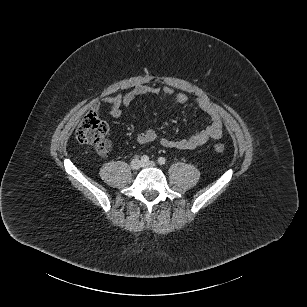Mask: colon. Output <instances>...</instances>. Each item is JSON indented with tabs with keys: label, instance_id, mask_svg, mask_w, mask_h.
Wrapping results in <instances>:
<instances>
[{
	"label": "colon",
	"instance_id": "colon-1",
	"mask_svg": "<svg viewBox=\"0 0 307 307\" xmlns=\"http://www.w3.org/2000/svg\"><path fill=\"white\" fill-rule=\"evenodd\" d=\"M107 126L100 120L95 111H89L80 123L76 135L77 139L86 145L92 146L99 154H108L111 143L107 138ZM217 153L224 152V146L220 143L214 145Z\"/></svg>",
	"mask_w": 307,
	"mask_h": 307
}]
</instances>
